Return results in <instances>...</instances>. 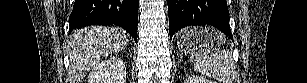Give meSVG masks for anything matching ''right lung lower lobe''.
<instances>
[{"label":"right lung lower lobe","mask_w":307,"mask_h":83,"mask_svg":"<svg viewBox=\"0 0 307 83\" xmlns=\"http://www.w3.org/2000/svg\"><path fill=\"white\" fill-rule=\"evenodd\" d=\"M139 0H75L70 32L91 25L116 24L137 41Z\"/></svg>","instance_id":"right-lung-lower-lobe-1"}]
</instances>
